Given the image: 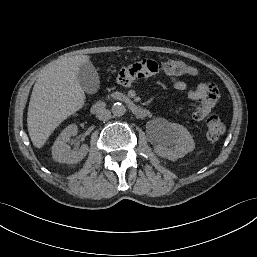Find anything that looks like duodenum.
Masks as SVG:
<instances>
[{
  "label": "duodenum",
  "instance_id": "obj_1",
  "mask_svg": "<svg viewBox=\"0 0 257 257\" xmlns=\"http://www.w3.org/2000/svg\"><path fill=\"white\" fill-rule=\"evenodd\" d=\"M123 101L126 103L130 111L138 118H146L149 115V111L142 106L134 103L128 98H123ZM106 107L104 101H98L94 104L92 111L94 113L101 112Z\"/></svg>",
  "mask_w": 257,
  "mask_h": 257
}]
</instances>
